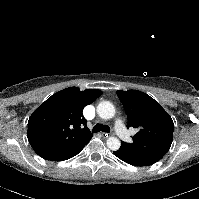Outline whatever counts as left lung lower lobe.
<instances>
[{
  "label": "left lung lower lobe",
  "mask_w": 199,
  "mask_h": 199,
  "mask_svg": "<svg viewBox=\"0 0 199 199\" xmlns=\"http://www.w3.org/2000/svg\"><path fill=\"white\" fill-rule=\"evenodd\" d=\"M113 153L122 161L134 166H148L159 161L151 156L133 151L123 144H121L118 150L113 151Z\"/></svg>",
  "instance_id": "1"
}]
</instances>
